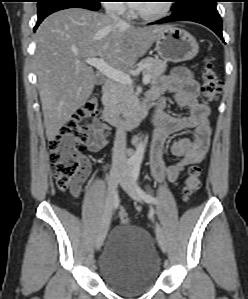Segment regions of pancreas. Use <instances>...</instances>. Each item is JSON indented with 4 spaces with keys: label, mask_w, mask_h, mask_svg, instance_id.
Returning a JSON list of instances; mask_svg holds the SVG:
<instances>
[{
    "label": "pancreas",
    "mask_w": 248,
    "mask_h": 299,
    "mask_svg": "<svg viewBox=\"0 0 248 299\" xmlns=\"http://www.w3.org/2000/svg\"><path fill=\"white\" fill-rule=\"evenodd\" d=\"M139 66L142 67L143 75H148L150 79L161 76L167 68L164 61L152 57L143 59ZM107 98L108 106L124 115L130 113L138 103L137 94L132 85L122 83H114Z\"/></svg>",
    "instance_id": "obj_1"
}]
</instances>
